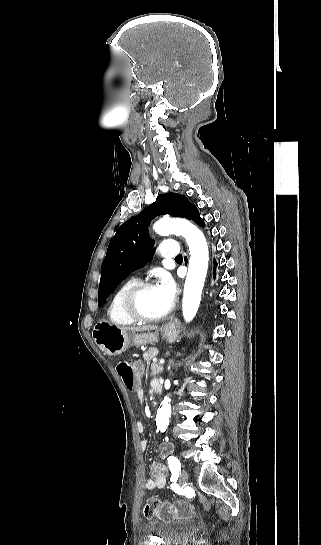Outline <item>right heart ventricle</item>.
I'll return each instance as SVG.
<instances>
[{"label": "right heart ventricle", "mask_w": 321, "mask_h": 545, "mask_svg": "<svg viewBox=\"0 0 321 545\" xmlns=\"http://www.w3.org/2000/svg\"><path fill=\"white\" fill-rule=\"evenodd\" d=\"M136 282L137 280L133 277L126 279L120 284V286L115 290L112 297L110 298L107 305L106 314L112 326H115L117 328H123L133 324L129 320H127L122 314L121 299L125 291Z\"/></svg>", "instance_id": "1"}]
</instances>
